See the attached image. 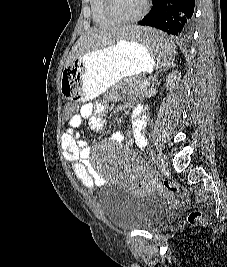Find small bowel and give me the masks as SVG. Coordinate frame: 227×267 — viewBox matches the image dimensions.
Here are the masks:
<instances>
[{
    "label": "small bowel",
    "mask_w": 227,
    "mask_h": 267,
    "mask_svg": "<svg viewBox=\"0 0 227 267\" xmlns=\"http://www.w3.org/2000/svg\"><path fill=\"white\" fill-rule=\"evenodd\" d=\"M105 111L104 103H85L79 113L68 120V125L61 135V147L64 158L70 162L76 177L89 188L96 189L102 183V177L90 160V147L81 134L79 127L84 120H89L90 127L95 132H103L106 128V120L100 115ZM132 134L130 141L138 148H144L147 144L145 135V117L142 109H134L132 112ZM121 134H115L113 139L121 140Z\"/></svg>",
    "instance_id": "c3829d8e"
}]
</instances>
